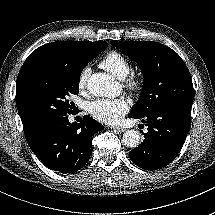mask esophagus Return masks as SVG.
<instances>
[{
    "mask_svg": "<svg viewBox=\"0 0 215 215\" xmlns=\"http://www.w3.org/2000/svg\"><path fill=\"white\" fill-rule=\"evenodd\" d=\"M112 129L116 130L117 132H124L126 129L122 127H111Z\"/></svg>",
    "mask_w": 215,
    "mask_h": 215,
    "instance_id": "esophagus-1",
    "label": "esophagus"
}]
</instances>
